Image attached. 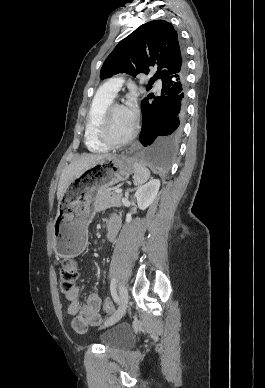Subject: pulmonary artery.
I'll return each mask as SVG.
<instances>
[{
	"mask_svg": "<svg viewBox=\"0 0 265 388\" xmlns=\"http://www.w3.org/2000/svg\"><path fill=\"white\" fill-rule=\"evenodd\" d=\"M158 80L160 79L159 77L157 78ZM122 82L119 79H108L106 83L102 84V89L103 90H118L119 85Z\"/></svg>",
	"mask_w": 265,
	"mask_h": 388,
	"instance_id": "pulmonary-artery-1",
	"label": "pulmonary artery"
}]
</instances>
